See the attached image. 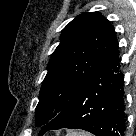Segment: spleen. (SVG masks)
<instances>
[{
	"instance_id": "obj_1",
	"label": "spleen",
	"mask_w": 136,
	"mask_h": 136,
	"mask_svg": "<svg viewBox=\"0 0 136 136\" xmlns=\"http://www.w3.org/2000/svg\"><path fill=\"white\" fill-rule=\"evenodd\" d=\"M72 136H86L84 133H74Z\"/></svg>"
}]
</instances>
